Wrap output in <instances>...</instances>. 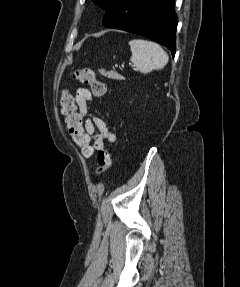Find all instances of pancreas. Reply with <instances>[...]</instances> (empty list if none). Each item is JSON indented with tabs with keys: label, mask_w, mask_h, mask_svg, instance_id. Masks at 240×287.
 I'll use <instances>...</instances> for the list:
<instances>
[{
	"label": "pancreas",
	"mask_w": 240,
	"mask_h": 287,
	"mask_svg": "<svg viewBox=\"0 0 240 287\" xmlns=\"http://www.w3.org/2000/svg\"><path fill=\"white\" fill-rule=\"evenodd\" d=\"M101 75L108 77L110 79L121 80L122 76L115 71H105L100 70Z\"/></svg>",
	"instance_id": "1"
}]
</instances>
